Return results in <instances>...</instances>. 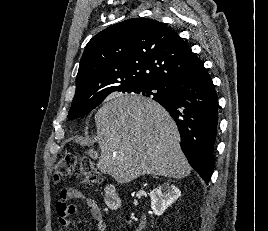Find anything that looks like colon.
Here are the masks:
<instances>
[{
	"mask_svg": "<svg viewBox=\"0 0 268 231\" xmlns=\"http://www.w3.org/2000/svg\"><path fill=\"white\" fill-rule=\"evenodd\" d=\"M77 172L86 183L98 180L99 172L88 159H78L74 155L63 156L55 165L54 179L62 181Z\"/></svg>",
	"mask_w": 268,
	"mask_h": 231,
	"instance_id": "5ec220e1",
	"label": "colon"
}]
</instances>
